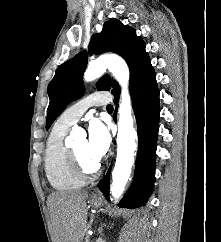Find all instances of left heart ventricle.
<instances>
[{"label":"left heart ventricle","mask_w":221,"mask_h":242,"mask_svg":"<svg viewBox=\"0 0 221 242\" xmlns=\"http://www.w3.org/2000/svg\"><path fill=\"white\" fill-rule=\"evenodd\" d=\"M73 150L76 152L81 161L88 167H92L96 162H94L88 153V144L86 140L79 141Z\"/></svg>","instance_id":"1"}]
</instances>
